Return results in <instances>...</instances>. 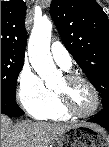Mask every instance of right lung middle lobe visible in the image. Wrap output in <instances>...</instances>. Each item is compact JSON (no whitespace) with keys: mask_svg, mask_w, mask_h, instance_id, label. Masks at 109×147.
Wrapping results in <instances>:
<instances>
[{"mask_svg":"<svg viewBox=\"0 0 109 147\" xmlns=\"http://www.w3.org/2000/svg\"><path fill=\"white\" fill-rule=\"evenodd\" d=\"M24 57L1 50V95L16 103V83Z\"/></svg>","mask_w":109,"mask_h":147,"instance_id":"obj_1","label":"right lung middle lobe"}]
</instances>
